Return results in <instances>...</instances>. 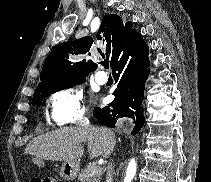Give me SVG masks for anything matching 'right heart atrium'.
I'll list each match as a JSON object with an SVG mask.
<instances>
[{"label":"right heart atrium","mask_w":211,"mask_h":182,"mask_svg":"<svg viewBox=\"0 0 211 182\" xmlns=\"http://www.w3.org/2000/svg\"><path fill=\"white\" fill-rule=\"evenodd\" d=\"M49 106V119L57 126L80 123L87 116L84 96L75 88H64L53 93Z\"/></svg>","instance_id":"obj_1"}]
</instances>
